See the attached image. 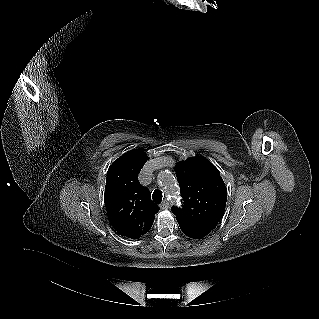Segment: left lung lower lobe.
<instances>
[{"mask_svg": "<svg viewBox=\"0 0 319 319\" xmlns=\"http://www.w3.org/2000/svg\"><path fill=\"white\" fill-rule=\"evenodd\" d=\"M178 224H179L182 232L186 236L193 238V239L202 238L211 232V231L206 230V229L195 228L193 226L187 225V224L179 222V221H178Z\"/></svg>", "mask_w": 319, "mask_h": 319, "instance_id": "left-lung-lower-lobe-1", "label": "left lung lower lobe"}]
</instances>
